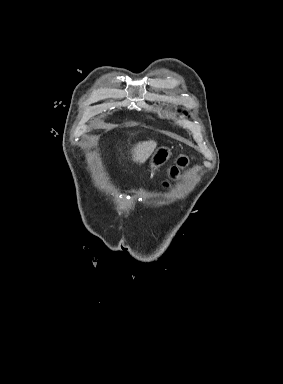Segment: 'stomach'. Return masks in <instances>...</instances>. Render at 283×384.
I'll use <instances>...</instances> for the list:
<instances>
[{
  "mask_svg": "<svg viewBox=\"0 0 283 384\" xmlns=\"http://www.w3.org/2000/svg\"><path fill=\"white\" fill-rule=\"evenodd\" d=\"M171 156L172 154L169 148H165V146H162V148H157V150H155L150 160L151 170H158V168H161V166H164V164L168 162Z\"/></svg>",
  "mask_w": 283,
  "mask_h": 384,
  "instance_id": "1",
  "label": "stomach"
}]
</instances>
